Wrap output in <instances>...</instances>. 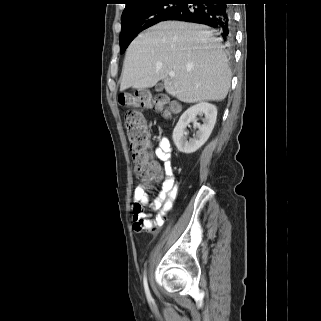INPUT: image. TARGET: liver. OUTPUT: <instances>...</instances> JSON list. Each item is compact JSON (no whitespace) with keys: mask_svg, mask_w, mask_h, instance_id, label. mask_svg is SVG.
Segmentation results:
<instances>
[{"mask_svg":"<svg viewBox=\"0 0 321 321\" xmlns=\"http://www.w3.org/2000/svg\"><path fill=\"white\" fill-rule=\"evenodd\" d=\"M160 80L168 94L185 103L225 99L231 72L213 31L164 21L138 35L126 51L120 91L151 88Z\"/></svg>","mask_w":321,"mask_h":321,"instance_id":"6515ba94","label":"liver"}]
</instances>
